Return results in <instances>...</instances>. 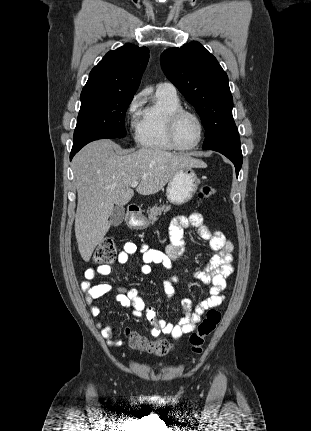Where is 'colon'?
Returning a JSON list of instances; mask_svg holds the SVG:
<instances>
[{"instance_id":"1","label":"colon","mask_w":311,"mask_h":431,"mask_svg":"<svg viewBox=\"0 0 311 431\" xmlns=\"http://www.w3.org/2000/svg\"><path fill=\"white\" fill-rule=\"evenodd\" d=\"M216 194L215 188L209 185H203L199 191V197L203 200L211 199ZM117 250L115 243L110 238H104L98 244L93 260L95 263L108 264L115 260ZM221 319V314L215 309L208 311L204 320L198 325L197 330L193 332L189 338L191 351L194 355H199L202 352L203 344L207 336H209L217 327ZM127 345L130 350L148 353L156 356L168 354L172 345L165 339H149L141 334L126 331Z\"/></svg>"}]
</instances>
